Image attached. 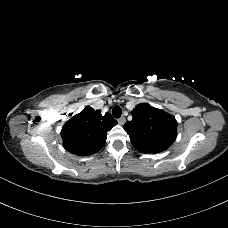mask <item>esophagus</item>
Wrapping results in <instances>:
<instances>
[{
	"mask_svg": "<svg viewBox=\"0 0 228 228\" xmlns=\"http://www.w3.org/2000/svg\"><path fill=\"white\" fill-rule=\"evenodd\" d=\"M125 122H126V118H125L124 116H122V117H120V118L118 119V123H119L120 125H124Z\"/></svg>",
	"mask_w": 228,
	"mask_h": 228,
	"instance_id": "obj_1",
	"label": "esophagus"
}]
</instances>
